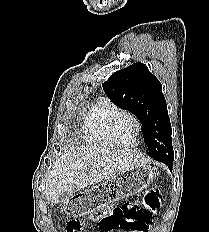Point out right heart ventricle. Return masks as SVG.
Instances as JSON below:
<instances>
[{
  "instance_id": "right-heart-ventricle-1",
  "label": "right heart ventricle",
  "mask_w": 209,
  "mask_h": 232,
  "mask_svg": "<svg viewBox=\"0 0 209 232\" xmlns=\"http://www.w3.org/2000/svg\"><path fill=\"white\" fill-rule=\"evenodd\" d=\"M119 110L106 98H100L92 105L83 125L84 137L90 145L104 149L114 147L108 137L107 126L110 118ZM130 144L134 147L136 141L132 140Z\"/></svg>"
}]
</instances>
